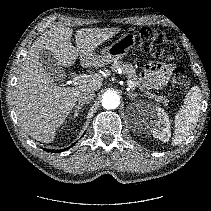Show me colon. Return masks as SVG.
Wrapping results in <instances>:
<instances>
[{
  "mask_svg": "<svg viewBox=\"0 0 211 211\" xmlns=\"http://www.w3.org/2000/svg\"><path fill=\"white\" fill-rule=\"evenodd\" d=\"M139 40L142 51L166 61L181 58L178 44L161 30L142 28L139 31ZM171 87L175 94H184L190 85L188 74L181 67H173L170 71Z\"/></svg>",
  "mask_w": 211,
  "mask_h": 211,
  "instance_id": "1",
  "label": "colon"
}]
</instances>
